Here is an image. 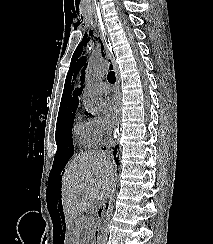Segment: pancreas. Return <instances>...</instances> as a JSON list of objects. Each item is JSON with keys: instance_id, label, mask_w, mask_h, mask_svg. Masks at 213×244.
I'll list each match as a JSON object with an SVG mask.
<instances>
[{"instance_id": "cf45deb5", "label": "pancreas", "mask_w": 213, "mask_h": 244, "mask_svg": "<svg viewBox=\"0 0 213 244\" xmlns=\"http://www.w3.org/2000/svg\"><path fill=\"white\" fill-rule=\"evenodd\" d=\"M78 227H81V223H79V224L77 225V228H78Z\"/></svg>"}]
</instances>
